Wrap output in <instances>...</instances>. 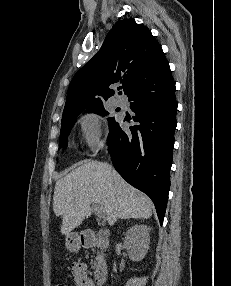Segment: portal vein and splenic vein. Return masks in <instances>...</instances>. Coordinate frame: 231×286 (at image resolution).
I'll return each instance as SVG.
<instances>
[{"label": "portal vein and splenic vein", "mask_w": 231, "mask_h": 286, "mask_svg": "<svg viewBox=\"0 0 231 286\" xmlns=\"http://www.w3.org/2000/svg\"><path fill=\"white\" fill-rule=\"evenodd\" d=\"M92 209L99 218L105 217V211H104V208L102 206L93 204Z\"/></svg>", "instance_id": "obj_1"}]
</instances>
